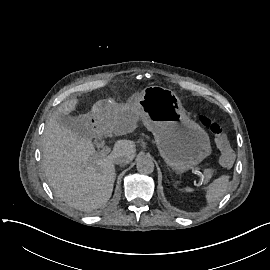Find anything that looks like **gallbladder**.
Returning a JSON list of instances; mask_svg holds the SVG:
<instances>
[{
	"label": "gallbladder",
	"instance_id": "1",
	"mask_svg": "<svg viewBox=\"0 0 270 270\" xmlns=\"http://www.w3.org/2000/svg\"><path fill=\"white\" fill-rule=\"evenodd\" d=\"M63 124L77 135H81L83 128L86 127V123L82 117H64Z\"/></svg>",
	"mask_w": 270,
	"mask_h": 270
}]
</instances>
